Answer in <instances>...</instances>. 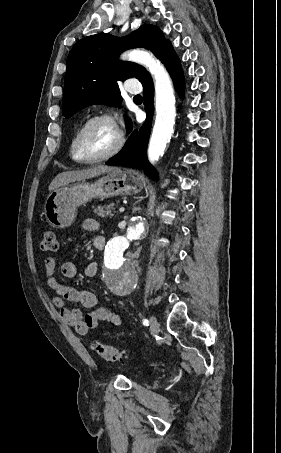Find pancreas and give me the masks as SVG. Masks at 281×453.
Wrapping results in <instances>:
<instances>
[{
	"mask_svg": "<svg viewBox=\"0 0 281 453\" xmlns=\"http://www.w3.org/2000/svg\"><path fill=\"white\" fill-rule=\"evenodd\" d=\"M113 204H106V206H97V208H94L93 206V212L97 214V216H113L112 210H109Z\"/></svg>",
	"mask_w": 281,
	"mask_h": 453,
	"instance_id": "1",
	"label": "pancreas"
}]
</instances>
